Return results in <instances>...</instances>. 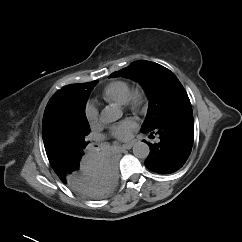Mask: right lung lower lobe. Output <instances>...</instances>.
<instances>
[{"mask_svg": "<svg viewBox=\"0 0 242 242\" xmlns=\"http://www.w3.org/2000/svg\"><path fill=\"white\" fill-rule=\"evenodd\" d=\"M53 169L64 184L91 199L108 196L118 179L116 161L112 155L81 157Z\"/></svg>", "mask_w": 242, "mask_h": 242, "instance_id": "1", "label": "right lung lower lobe"}]
</instances>
